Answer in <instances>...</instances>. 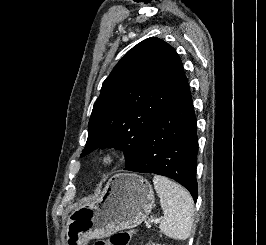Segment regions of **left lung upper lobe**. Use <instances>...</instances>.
Returning a JSON list of instances; mask_svg holds the SVG:
<instances>
[{
  "label": "left lung upper lobe",
  "mask_w": 266,
  "mask_h": 245,
  "mask_svg": "<svg viewBox=\"0 0 266 245\" xmlns=\"http://www.w3.org/2000/svg\"><path fill=\"white\" fill-rule=\"evenodd\" d=\"M185 74L173 47L156 37L133 47L102 85L81 157L98 148L122 149L128 167L146 131L179 89Z\"/></svg>",
  "instance_id": "5c2ea615"
}]
</instances>
